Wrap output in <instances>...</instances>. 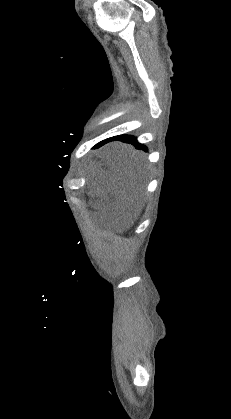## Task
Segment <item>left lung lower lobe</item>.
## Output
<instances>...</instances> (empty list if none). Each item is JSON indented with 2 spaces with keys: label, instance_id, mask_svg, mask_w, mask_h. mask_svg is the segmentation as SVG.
Segmentation results:
<instances>
[{
  "label": "left lung lower lobe",
  "instance_id": "obj_1",
  "mask_svg": "<svg viewBox=\"0 0 231 419\" xmlns=\"http://www.w3.org/2000/svg\"><path fill=\"white\" fill-rule=\"evenodd\" d=\"M111 141H121L124 143H129L135 146L136 149H140V150H145L147 151V147L141 143H139L136 139V137L132 136V135H118V136H114L108 139H105L99 143H97L94 147L95 148H99L101 146H103L106 143H109Z\"/></svg>",
  "mask_w": 231,
  "mask_h": 419
}]
</instances>
